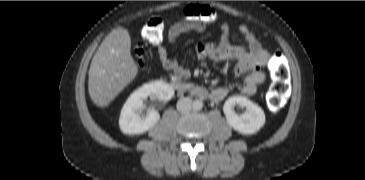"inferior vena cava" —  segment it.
<instances>
[{"mask_svg":"<svg viewBox=\"0 0 365 180\" xmlns=\"http://www.w3.org/2000/svg\"><path fill=\"white\" fill-rule=\"evenodd\" d=\"M177 110L180 112H186L191 109L192 101L190 98H181L177 102Z\"/></svg>","mask_w":365,"mask_h":180,"instance_id":"inferior-vena-cava-1","label":"inferior vena cava"}]
</instances>
